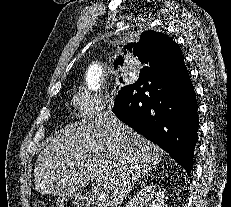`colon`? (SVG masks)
<instances>
[{
	"mask_svg": "<svg viewBox=\"0 0 231 207\" xmlns=\"http://www.w3.org/2000/svg\"><path fill=\"white\" fill-rule=\"evenodd\" d=\"M34 207H80V205L73 200L66 199V198H59L50 204L43 201H38L34 205Z\"/></svg>",
	"mask_w": 231,
	"mask_h": 207,
	"instance_id": "1",
	"label": "colon"
}]
</instances>
